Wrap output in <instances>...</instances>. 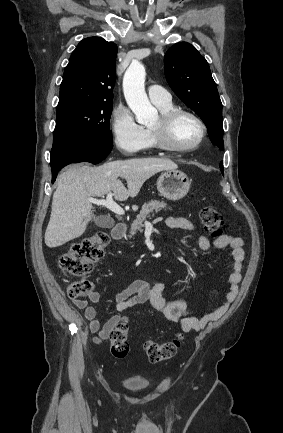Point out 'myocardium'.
<instances>
[{"instance_id":"obj_1","label":"myocardium","mask_w":283,"mask_h":433,"mask_svg":"<svg viewBox=\"0 0 283 433\" xmlns=\"http://www.w3.org/2000/svg\"><path fill=\"white\" fill-rule=\"evenodd\" d=\"M183 115L190 116L198 123L200 135L192 144L180 147L173 139V130L177 119ZM151 130L155 135L159 149L175 154L194 151L203 143L208 133L204 120L194 111L185 108H174L161 114L156 125Z\"/></svg>"}]
</instances>
